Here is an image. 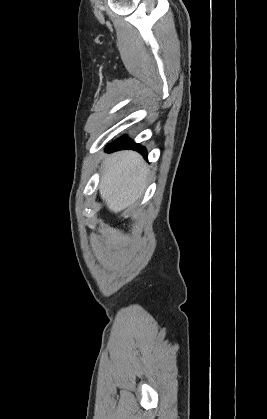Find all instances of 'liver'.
<instances>
[{"label": "liver", "mask_w": 267, "mask_h": 419, "mask_svg": "<svg viewBox=\"0 0 267 419\" xmlns=\"http://www.w3.org/2000/svg\"><path fill=\"white\" fill-rule=\"evenodd\" d=\"M148 173V166L137 152L125 150L108 156L99 185L107 208L118 213L134 204L146 188Z\"/></svg>", "instance_id": "1"}]
</instances>
